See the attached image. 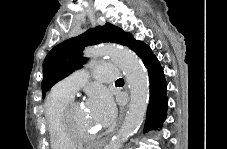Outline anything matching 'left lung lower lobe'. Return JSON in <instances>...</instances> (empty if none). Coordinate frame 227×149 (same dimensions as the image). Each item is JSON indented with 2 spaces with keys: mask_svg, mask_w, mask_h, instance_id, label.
Returning a JSON list of instances; mask_svg holds the SVG:
<instances>
[{
  "mask_svg": "<svg viewBox=\"0 0 227 149\" xmlns=\"http://www.w3.org/2000/svg\"><path fill=\"white\" fill-rule=\"evenodd\" d=\"M127 47L136 52L148 69L150 81V101L147 110L144 132L151 128L161 127L167 116V84L164 78L163 69L152 53L149 46L142 41L135 40L131 35Z\"/></svg>",
  "mask_w": 227,
  "mask_h": 149,
  "instance_id": "1",
  "label": "left lung lower lobe"
}]
</instances>
